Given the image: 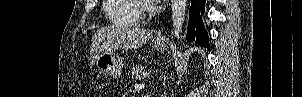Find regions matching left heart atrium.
<instances>
[{
    "label": "left heart atrium",
    "instance_id": "obj_1",
    "mask_svg": "<svg viewBox=\"0 0 302 97\" xmlns=\"http://www.w3.org/2000/svg\"><path fill=\"white\" fill-rule=\"evenodd\" d=\"M148 3H151V4H155V3H158L160 2L159 0H148L147 1Z\"/></svg>",
    "mask_w": 302,
    "mask_h": 97
}]
</instances>
